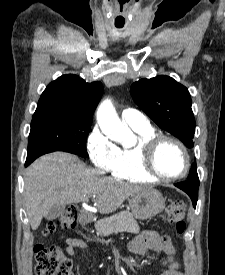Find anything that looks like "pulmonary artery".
I'll return each instance as SVG.
<instances>
[{
  "label": "pulmonary artery",
  "mask_w": 225,
  "mask_h": 275,
  "mask_svg": "<svg viewBox=\"0 0 225 275\" xmlns=\"http://www.w3.org/2000/svg\"><path fill=\"white\" fill-rule=\"evenodd\" d=\"M122 120L126 122L130 127H147L149 121L144 114L132 109L126 108L121 113Z\"/></svg>",
  "instance_id": "obj_1"
}]
</instances>
